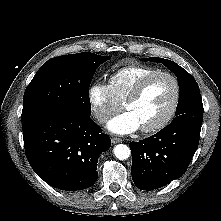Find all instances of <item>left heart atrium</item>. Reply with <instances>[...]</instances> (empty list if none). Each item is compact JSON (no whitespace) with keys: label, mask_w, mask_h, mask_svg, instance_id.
<instances>
[{"label":"left heart atrium","mask_w":221,"mask_h":221,"mask_svg":"<svg viewBox=\"0 0 221 221\" xmlns=\"http://www.w3.org/2000/svg\"><path fill=\"white\" fill-rule=\"evenodd\" d=\"M107 128L114 134L124 135L138 130L140 125L135 116L130 111H126L111 119Z\"/></svg>","instance_id":"left-heart-atrium-1"}]
</instances>
